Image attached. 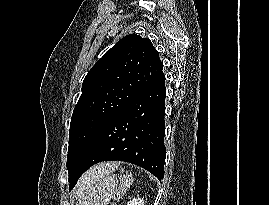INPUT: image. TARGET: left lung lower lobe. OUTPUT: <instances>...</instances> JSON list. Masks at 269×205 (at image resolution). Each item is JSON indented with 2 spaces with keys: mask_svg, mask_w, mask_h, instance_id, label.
<instances>
[{
  "mask_svg": "<svg viewBox=\"0 0 269 205\" xmlns=\"http://www.w3.org/2000/svg\"><path fill=\"white\" fill-rule=\"evenodd\" d=\"M165 96L162 72L102 128L71 174L69 189L91 166L108 160L138 165L163 179Z\"/></svg>",
  "mask_w": 269,
  "mask_h": 205,
  "instance_id": "1",
  "label": "left lung lower lobe"
}]
</instances>
